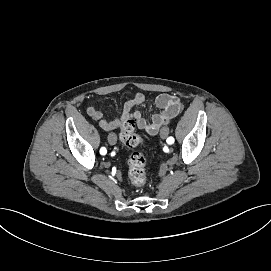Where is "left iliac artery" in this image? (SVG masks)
Masks as SVG:
<instances>
[{"label":"left iliac artery","instance_id":"left-iliac-artery-1","mask_svg":"<svg viewBox=\"0 0 271 271\" xmlns=\"http://www.w3.org/2000/svg\"><path fill=\"white\" fill-rule=\"evenodd\" d=\"M174 140H175L174 137L170 136V137L167 138L166 141H167L168 144H172L174 142Z\"/></svg>","mask_w":271,"mask_h":271}]
</instances>
